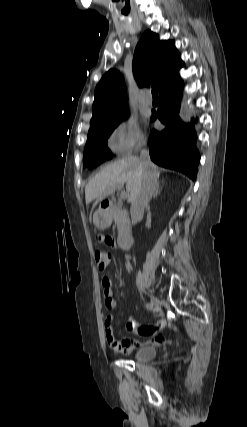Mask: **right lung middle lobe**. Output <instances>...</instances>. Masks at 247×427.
<instances>
[{
	"instance_id": "1",
	"label": "right lung middle lobe",
	"mask_w": 247,
	"mask_h": 427,
	"mask_svg": "<svg viewBox=\"0 0 247 427\" xmlns=\"http://www.w3.org/2000/svg\"><path fill=\"white\" fill-rule=\"evenodd\" d=\"M127 114L128 110L125 109L113 120L96 128L89 129L83 154V168L91 170L113 157L111 151L107 148V138Z\"/></svg>"
}]
</instances>
